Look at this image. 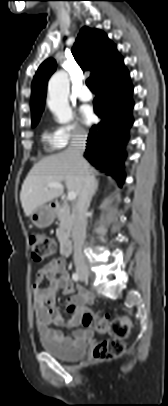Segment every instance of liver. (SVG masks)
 Instances as JSON below:
<instances>
[{"mask_svg":"<svg viewBox=\"0 0 168 406\" xmlns=\"http://www.w3.org/2000/svg\"><path fill=\"white\" fill-rule=\"evenodd\" d=\"M87 165L91 169L88 163ZM52 182H65L68 191H73L77 195L81 191V166L67 150L41 159L29 171L20 192V200L26 216H30L37 207L62 195L63 189L45 190V187Z\"/></svg>","mask_w":168,"mask_h":406,"instance_id":"obj_1","label":"liver"}]
</instances>
